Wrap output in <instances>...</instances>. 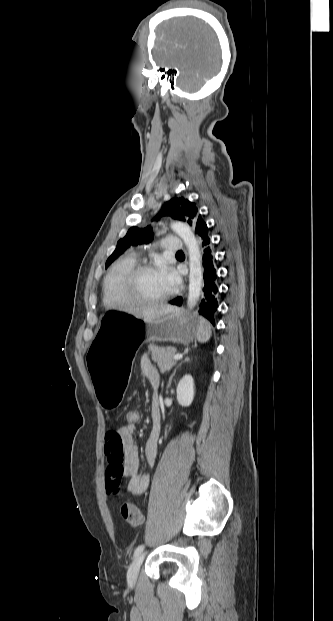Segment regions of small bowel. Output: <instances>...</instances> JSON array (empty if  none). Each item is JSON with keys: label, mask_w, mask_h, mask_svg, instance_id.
Wrapping results in <instances>:
<instances>
[{"label": "small bowel", "mask_w": 333, "mask_h": 621, "mask_svg": "<svg viewBox=\"0 0 333 621\" xmlns=\"http://www.w3.org/2000/svg\"><path fill=\"white\" fill-rule=\"evenodd\" d=\"M140 365L143 376L153 388L151 415L154 426L144 446L145 459L149 465H153L157 458L160 431V412L157 402L159 373L146 356L141 359ZM135 429V425L125 423L106 434L104 446L105 482L106 490L111 495L120 492L123 478L127 479L128 492L135 496L144 494L149 486V475L139 472V452L134 439Z\"/></svg>", "instance_id": "obj_1"}]
</instances>
